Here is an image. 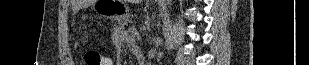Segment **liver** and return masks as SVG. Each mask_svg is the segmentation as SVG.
<instances>
[{"mask_svg":"<svg viewBox=\"0 0 309 65\" xmlns=\"http://www.w3.org/2000/svg\"><path fill=\"white\" fill-rule=\"evenodd\" d=\"M133 2L139 3V2H140V0H134Z\"/></svg>","mask_w":309,"mask_h":65,"instance_id":"obj_1","label":"liver"}]
</instances>
